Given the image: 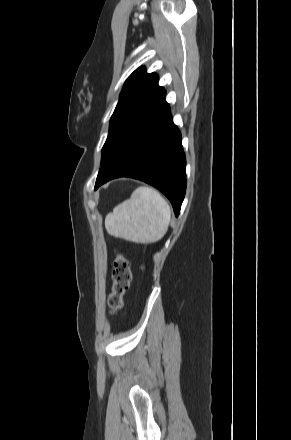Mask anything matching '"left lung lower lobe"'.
Instances as JSON below:
<instances>
[{
    "mask_svg": "<svg viewBox=\"0 0 291 440\" xmlns=\"http://www.w3.org/2000/svg\"><path fill=\"white\" fill-rule=\"evenodd\" d=\"M186 160L165 91L121 133L101 163L95 190L118 177L144 181L163 192L178 216L186 190Z\"/></svg>",
    "mask_w": 291,
    "mask_h": 440,
    "instance_id": "obj_1",
    "label": "left lung lower lobe"
}]
</instances>
